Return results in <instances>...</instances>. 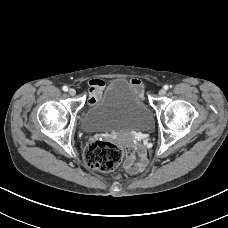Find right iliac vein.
I'll list each match as a JSON object with an SVG mask.
<instances>
[{
	"label": "right iliac vein",
	"mask_w": 228,
	"mask_h": 228,
	"mask_svg": "<svg viewBox=\"0 0 228 228\" xmlns=\"http://www.w3.org/2000/svg\"><path fill=\"white\" fill-rule=\"evenodd\" d=\"M68 93H69L71 96H74V95L76 94V91H75V89L70 88L69 91H68Z\"/></svg>",
	"instance_id": "1"
}]
</instances>
